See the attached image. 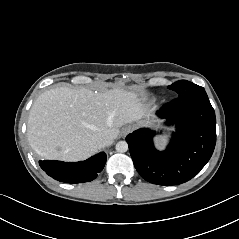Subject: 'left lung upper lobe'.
I'll use <instances>...</instances> for the list:
<instances>
[{
  "mask_svg": "<svg viewBox=\"0 0 239 239\" xmlns=\"http://www.w3.org/2000/svg\"><path fill=\"white\" fill-rule=\"evenodd\" d=\"M168 88L177 92L178 97H183L204 89L203 87L186 80L177 81L168 86Z\"/></svg>",
  "mask_w": 239,
  "mask_h": 239,
  "instance_id": "left-lung-upper-lobe-1",
  "label": "left lung upper lobe"
}]
</instances>
